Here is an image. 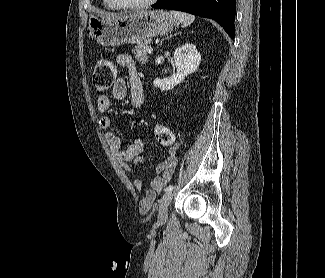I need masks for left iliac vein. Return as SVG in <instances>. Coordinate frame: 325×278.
Here are the masks:
<instances>
[{
	"instance_id": "left-iliac-vein-1",
	"label": "left iliac vein",
	"mask_w": 325,
	"mask_h": 278,
	"mask_svg": "<svg viewBox=\"0 0 325 278\" xmlns=\"http://www.w3.org/2000/svg\"><path fill=\"white\" fill-rule=\"evenodd\" d=\"M173 199V192H166L161 200H160V205H159V210H158V217L160 222H164L167 219V214H168V206L171 203Z\"/></svg>"
}]
</instances>
